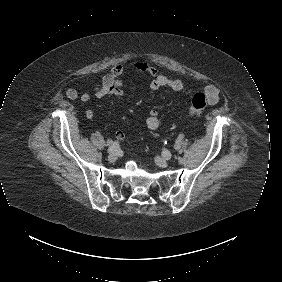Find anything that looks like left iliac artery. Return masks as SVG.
I'll list each match as a JSON object with an SVG mask.
<instances>
[{
    "label": "left iliac artery",
    "mask_w": 282,
    "mask_h": 282,
    "mask_svg": "<svg viewBox=\"0 0 282 282\" xmlns=\"http://www.w3.org/2000/svg\"><path fill=\"white\" fill-rule=\"evenodd\" d=\"M162 155L166 158V159H170L171 158V153L168 150H164L162 152Z\"/></svg>",
    "instance_id": "left-iliac-artery-1"
}]
</instances>
